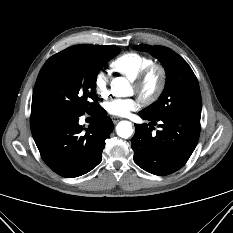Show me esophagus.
<instances>
[{
	"mask_svg": "<svg viewBox=\"0 0 233 233\" xmlns=\"http://www.w3.org/2000/svg\"><path fill=\"white\" fill-rule=\"evenodd\" d=\"M111 118L114 124L118 123L121 120V118L117 116H112Z\"/></svg>",
	"mask_w": 233,
	"mask_h": 233,
	"instance_id": "esophagus-1",
	"label": "esophagus"
}]
</instances>
